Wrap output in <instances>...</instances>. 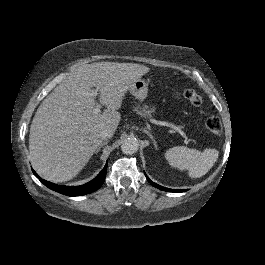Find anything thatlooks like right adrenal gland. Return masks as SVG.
Listing matches in <instances>:
<instances>
[{
  "instance_id": "obj_1",
  "label": "right adrenal gland",
  "mask_w": 265,
  "mask_h": 265,
  "mask_svg": "<svg viewBox=\"0 0 265 265\" xmlns=\"http://www.w3.org/2000/svg\"><path fill=\"white\" fill-rule=\"evenodd\" d=\"M107 143H108L107 140H106L105 142L101 143V144L99 145V147L96 149L95 154H97V153L101 150V148H102L104 145H107Z\"/></svg>"
}]
</instances>
